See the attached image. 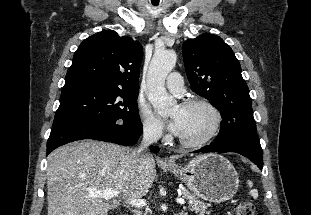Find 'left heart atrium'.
I'll use <instances>...</instances> for the list:
<instances>
[{
	"label": "left heart atrium",
	"instance_id": "left-heart-atrium-1",
	"mask_svg": "<svg viewBox=\"0 0 311 215\" xmlns=\"http://www.w3.org/2000/svg\"><path fill=\"white\" fill-rule=\"evenodd\" d=\"M168 128L173 134L179 135L182 129L181 119L179 117H173L168 122Z\"/></svg>",
	"mask_w": 311,
	"mask_h": 215
}]
</instances>
